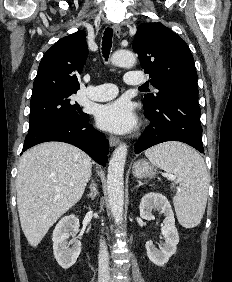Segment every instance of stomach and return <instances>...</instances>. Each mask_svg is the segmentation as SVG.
<instances>
[{"label":"stomach","mask_w":232,"mask_h":282,"mask_svg":"<svg viewBox=\"0 0 232 282\" xmlns=\"http://www.w3.org/2000/svg\"><path fill=\"white\" fill-rule=\"evenodd\" d=\"M133 174L137 178L152 177L156 174V169L147 161H139L133 166Z\"/></svg>","instance_id":"1"}]
</instances>
